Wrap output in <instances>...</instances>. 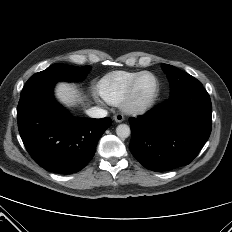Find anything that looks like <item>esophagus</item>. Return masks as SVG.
<instances>
[{
	"mask_svg": "<svg viewBox=\"0 0 232 232\" xmlns=\"http://www.w3.org/2000/svg\"><path fill=\"white\" fill-rule=\"evenodd\" d=\"M113 119L117 122V123H120L122 121H124V116L122 114H115L113 116Z\"/></svg>",
	"mask_w": 232,
	"mask_h": 232,
	"instance_id": "obj_1",
	"label": "esophagus"
}]
</instances>
